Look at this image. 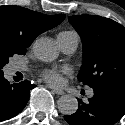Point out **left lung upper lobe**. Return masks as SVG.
Instances as JSON below:
<instances>
[{
    "instance_id": "left-lung-upper-lobe-1",
    "label": "left lung upper lobe",
    "mask_w": 125,
    "mask_h": 125,
    "mask_svg": "<svg viewBox=\"0 0 125 125\" xmlns=\"http://www.w3.org/2000/svg\"><path fill=\"white\" fill-rule=\"evenodd\" d=\"M83 43V66L79 82L92 88L125 86V28L100 16L68 17Z\"/></svg>"
}]
</instances>
